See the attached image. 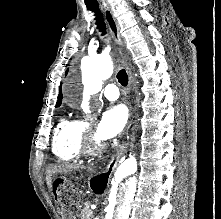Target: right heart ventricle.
Returning <instances> with one entry per match:
<instances>
[{
	"mask_svg": "<svg viewBox=\"0 0 221 219\" xmlns=\"http://www.w3.org/2000/svg\"><path fill=\"white\" fill-rule=\"evenodd\" d=\"M86 124L82 120L65 118L57 126L52 142L55 156L62 162H76L84 154Z\"/></svg>",
	"mask_w": 221,
	"mask_h": 219,
	"instance_id": "right-heart-ventricle-1",
	"label": "right heart ventricle"
}]
</instances>
